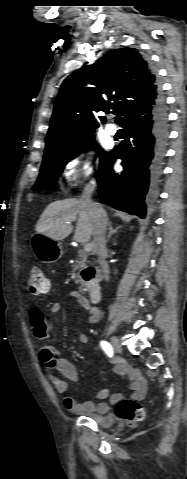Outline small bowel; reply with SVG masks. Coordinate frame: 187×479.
<instances>
[{"mask_svg": "<svg viewBox=\"0 0 187 479\" xmlns=\"http://www.w3.org/2000/svg\"><path fill=\"white\" fill-rule=\"evenodd\" d=\"M69 296L86 310L89 316L90 325L99 321L101 313L88 297L79 291H70ZM62 309L63 306L61 303H54L49 309V314L52 316L57 315ZM28 317L35 337L40 338L43 334H46L48 325L46 324L44 314L39 307L34 306L30 308ZM79 339L81 342H86L88 340V335L86 333H81ZM38 358L45 367L55 390L63 396V405L67 410L101 415L108 412L110 404L103 401L108 397L107 389H102L98 392L97 398L100 400L99 402L77 401L68 394L69 382L75 383L78 381L77 370L71 362L58 356L56 348L52 346L41 348ZM114 369L118 375L130 379L132 397L136 400H142L147 391L146 380L142 373L137 369L131 368L124 362L117 363ZM54 372H58L63 378L55 375ZM119 398L120 395H113L110 398V402L113 403Z\"/></svg>", "mask_w": 187, "mask_h": 479, "instance_id": "obj_1", "label": "small bowel"}]
</instances>
